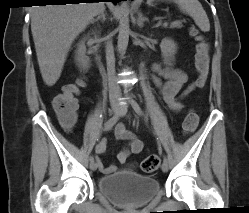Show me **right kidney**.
Listing matches in <instances>:
<instances>
[{"mask_svg": "<svg viewBox=\"0 0 249 213\" xmlns=\"http://www.w3.org/2000/svg\"><path fill=\"white\" fill-rule=\"evenodd\" d=\"M76 62L78 63V66L83 70H88L90 67V60L89 57L86 56V46H85V39L82 40L78 46L76 51Z\"/></svg>", "mask_w": 249, "mask_h": 213, "instance_id": "1", "label": "right kidney"}]
</instances>
